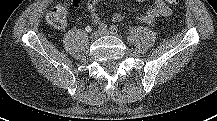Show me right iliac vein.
Masks as SVG:
<instances>
[{
    "label": "right iliac vein",
    "instance_id": "63e3f726",
    "mask_svg": "<svg viewBox=\"0 0 217 121\" xmlns=\"http://www.w3.org/2000/svg\"><path fill=\"white\" fill-rule=\"evenodd\" d=\"M100 35H101V32H100L99 30L94 31V32L91 34V39H92V40H96Z\"/></svg>",
    "mask_w": 217,
    "mask_h": 121
}]
</instances>
